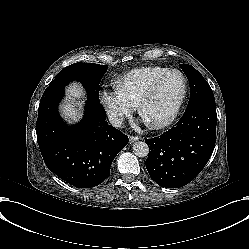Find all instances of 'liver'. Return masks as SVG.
I'll list each match as a JSON object with an SVG mask.
<instances>
[{
    "mask_svg": "<svg viewBox=\"0 0 249 249\" xmlns=\"http://www.w3.org/2000/svg\"><path fill=\"white\" fill-rule=\"evenodd\" d=\"M66 98L59 105V112L69 123H77L83 117L82 105L86 100V91L78 82H73L65 89Z\"/></svg>",
    "mask_w": 249,
    "mask_h": 249,
    "instance_id": "1",
    "label": "liver"
}]
</instances>
